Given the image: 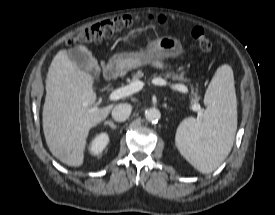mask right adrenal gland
<instances>
[{"label": "right adrenal gland", "mask_w": 275, "mask_h": 215, "mask_svg": "<svg viewBox=\"0 0 275 215\" xmlns=\"http://www.w3.org/2000/svg\"><path fill=\"white\" fill-rule=\"evenodd\" d=\"M105 125H109L113 130L117 128V126L112 121H106Z\"/></svg>", "instance_id": "obj_1"}]
</instances>
